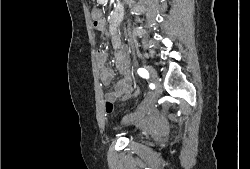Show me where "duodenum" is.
<instances>
[{"mask_svg": "<svg viewBox=\"0 0 250 169\" xmlns=\"http://www.w3.org/2000/svg\"><path fill=\"white\" fill-rule=\"evenodd\" d=\"M112 39L114 40V42L116 43L117 41V36L115 35V29L112 31Z\"/></svg>", "mask_w": 250, "mask_h": 169, "instance_id": "duodenum-1", "label": "duodenum"}]
</instances>
